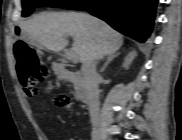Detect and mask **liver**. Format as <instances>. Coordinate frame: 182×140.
Instances as JSON below:
<instances>
[{"instance_id": "liver-1", "label": "liver", "mask_w": 182, "mask_h": 140, "mask_svg": "<svg viewBox=\"0 0 182 140\" xmlns=\"http://www.w3.org/2000/svg\"><path fill=\"white\" fill-rule=\"evenodd\" d=\"M21 32L37 45L54 52L63 50L73 37L72 50L82 63L115 53L123 37L104 21L85 13H41L20 24Z\"/></svg>"}]
</instances>
